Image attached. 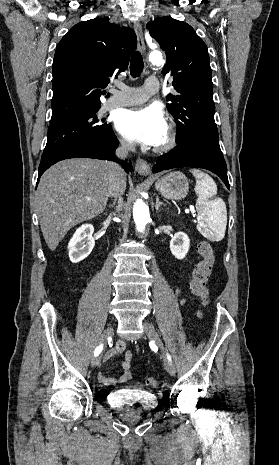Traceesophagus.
Masks as SVG:
<instances>
[{
	"label": "esophagus",
	"mask_w": 279,
	"mask_h": 465,
	"mask_svg": "<svg viewBox=\"0 0 279 465\" xmlns=\"http://www.w3.org/2000/svg\"><path fill=\"white\" fill-rule=\"evenodd\" d=\"M134 30H135L136 35H137L138 49L140 50V52L144 53L145 52V42H144V37H143V31H142L141 24L138 23V22H135L134 23ZM135 169L139 174L144 175V176L149 175L150 172H151L149 163L146 160L142 159V158H138L136 160Z\"/></svg>",
	"instance_id": "obj_1"
}]
</instances>
